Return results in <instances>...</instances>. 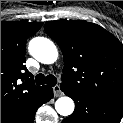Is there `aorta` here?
<instances>
[{
    "label": "aorta",
    "instance_id": "1",
    "mask_svg": "<svg viewBox=\"0 0 123 123\" xmlns=\"http://www.w3.org/2000/svg\"><path fill=\"white\" fill-rule=\"evenodd\" d=\"M30 54L39 62L52 64L57 60L58 50L55 44L48 38L35 37L30 40L28 46ZM75 108L74 101L70 97H60L55 102V109L62 116H70Z\"/></svg>",
    "mask_w": 123,
    "mask_h": 123
}]
</instances>
